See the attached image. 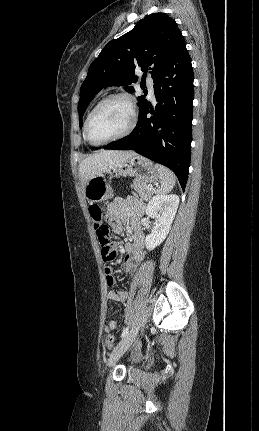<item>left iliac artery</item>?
<instances>
[{"instance_id":"1","label":"left iliac artery","mask_w":259,"mask_h":431,"mask_svg":"<svg viewBox=\"0 0 259 431\" xmlns=\"http://www.w3.org/2000/svg\"><path fill=\"white\" fill-rule=\"evenodd\" d=\"M128 331H129V327H126L121 334V338L125 337Z\"/></svg>"}]
</instances>
